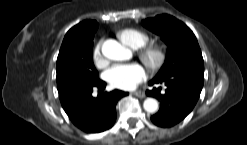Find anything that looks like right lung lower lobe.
<instances>
[{"label":"right lung lower lobe","mask_w":247,"mask_h":145,"mask_svg":"<svg viewBox=\"0 0 247 145\" xmlns=\"http://www.w3.org/2000/svg\"><path fill=\"white\" fill-rule=\"evenodd\" d=\"M106 83L98 80L92 84H79L59 93L66 114L75 126L87 133H98L109 129L116 120L117 101L127 92L114 90L103 93ZM99 89L96 98L93 88Z\"/></svg>","instance_id":"98d812e1"}]
</instances>
